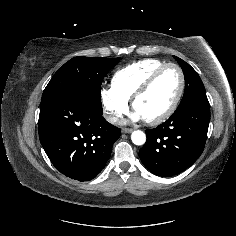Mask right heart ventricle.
<instances>
[{"mask_svg":"<svg viewBox=\"0 0 236 236\" xmlns=\"http://www.w3.org/2000/svg\"><path fill=\"white\" fill-rule=\"evenodd\" d=\"M165 64L161 60L145 59L125 66L113 75L112 86L130 100L142 84Z\"/></svg>","mask_w":236,"mask_h":236,"instance_id":"1","label":"right heart ventricle"}]
</instances>
